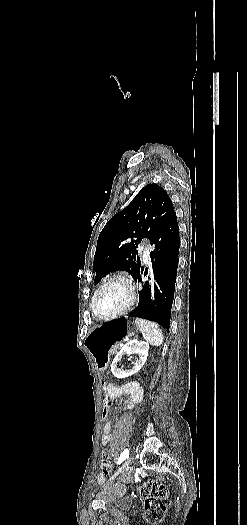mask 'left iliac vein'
Masks as SVG:
<instances>
[{
  "mask_svg": "<svg viewBox=\"0 0 247 525\" xmlns=\"http://www.w3.org/2000/svg\"><path fill=\"white\" fill-rule=\"evenodd\" d=\"M132 460L133 458L130 457L128 458L124 463L123 465L111 476L110 478V482L113 481L120 473H122L123 471H125L127 468H129L130 464L132 463Z\"/></svg>",
  "mask_w": 247,
  "mask_h": 525,
  "instance_id": "left-iliac-vein-1",
  "label": "left iliac vein"
}]
</instances>
